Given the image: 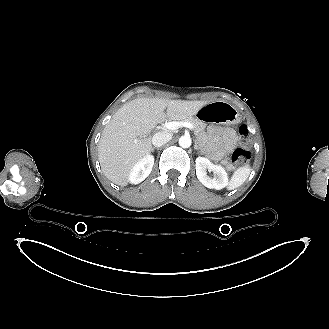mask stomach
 <instances>
[{"mask_svg": "<svg viewBox=\"0 0 329 329\" xmlns=\"http://www.w3.org/2000/svg\"><path fill=\"white\" fill-rule=\"evenodd\" d=\"M195 117L204 123L224 122L228 125H234L240 121L238 111L227 102L221 100L206 104L198 111Z\"/></svg>", "mask_w": 329, "mask_h": 329, "instance_id": "0dacf381", "label": "stomach"}]
</instances>
